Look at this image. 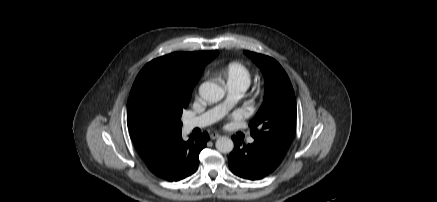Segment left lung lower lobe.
Wrapping results in <instances>:
<instances>
[{
	"label": "left lung lower lobe",
	"mask_w": 437,
	"mask_h": 202,
	"mask_svg": "<svg viewBox=\"0 0 437 202\" xmlns=\"http://www.w3.org/2000/svg\"><path fill=\"white\" fill-rule=\"evenodd\" d=\"M234 149L228 158L229 168L235 175L249 180H259L272 173L280 164L281 159L273 156L267 149L254 142L241 144L233 136Z\"/></svg>",
	"instance_id": "1"
}]
</instances>
